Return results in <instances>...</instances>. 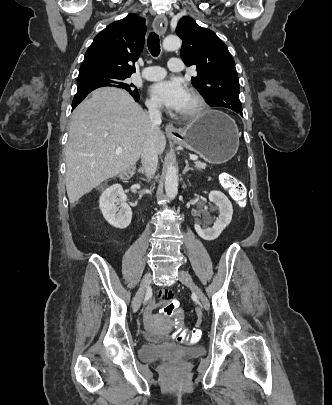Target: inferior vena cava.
<instances>
[{"instance_id":"1","label":"inferior vena cava","mask_w":332,"mask_h":405,"mask_svg":"<svg viewBox=\"0 0 332 405\" xmlns=\"http://www.w3.org/2000/svg\"><path fill=\"white\" fill-rule=\"evenodd\" d=\"M148 117L152 130L158 127L162 122L161 104L157 101H151L147 104ZM141 162L144 173L148 180L155 175L158 166V153L156 152L152 132L146 137L141 154Z\"/></svg>"}]
</instances>
